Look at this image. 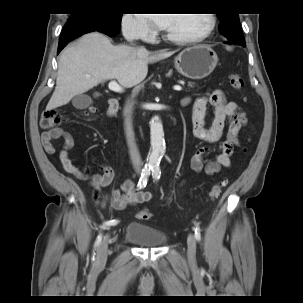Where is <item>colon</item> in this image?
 <instances>
[{"instance_id": "obj_1", "label": "colon", "mask_w": 303, "mask_h": 303, "mask_svg": "<svg viewBox=\"0 0 303 303\" xmlns=\"http://www.w3.org/2000/svg\"><path fill=\"white\" fill-rule=\"evenodd\" d=\"M229 82L231 86L238 91H241L245 87V82L243 78L236 73H231L229 75ZM61 122H62V114L58 110H54V109L46 110L41 117V126L43 128H54L60 125ZM225 184H226L225 181H220L217 184H215L209 192V198L211 200L217 199L220 196ZM151 216L152 214L148 210H140L136 214V217L139 220H148L151 218Z\"/></svg>"}]
</instances>
